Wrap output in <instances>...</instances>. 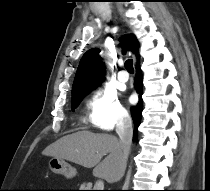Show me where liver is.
Wrapping results in <instances>:
<instances>
[{
	"mask_svg": "<svg viewBox=\"0 0 210 191\" xmlns=\"http://www.w3.org/2000/svg\"><path fill=\"white\" fill-rule=\"evenodd\" d=\"M43 154L85 168H94L93 174L109 183L119 180L121 148L115 136L82 130L60 138L49 145ZM105 155L107 156L102 160Z\"/></svg>",
	"mask_w": 210,
	"mask_h": 191,
	"instance_id": "1",
	"label": "liver"
}]
</instances>
